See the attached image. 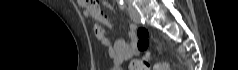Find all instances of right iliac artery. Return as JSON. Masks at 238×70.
<instances>
[{"instance_id":"82829eb1","label":"right iliac artery","mask_w":238,"mask_h":70,"mask_svg":"<svg viewBox=\"0 0 238 70\" xmlns=\"http://www.w3.org/2000/svg\"><path fill=\"white\" fill-rule=\"evenodd\" d=\"M118 4H119L120 8L123 10L124 9V1L123 0H119Z\"/></svg>"}]
</instances>
